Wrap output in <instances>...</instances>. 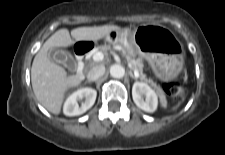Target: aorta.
<instances>
[{
  "label": "aorta",
  "mask_w": 225,
  "mask_h": 155,
  "mask_svg": "<svg viewBox=\"0 0 225 155\" xmlns=\"http://www.w3.org/2000/svg\"><path fill=\"white\" fill-rule=\"evenodd\" d=\"M125 74V69L119 64L112 65L110 67V75L113 78H122Z\"/></svg>",
  "instance_id": "762f6f07"
}]
</instances>
